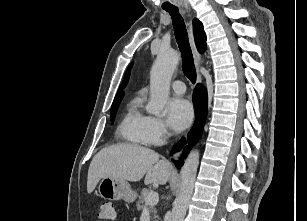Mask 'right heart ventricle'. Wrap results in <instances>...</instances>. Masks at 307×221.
Wrapping results in <instances>:
<instances>
[{
    "instance_id": "1",
    "label": "right heart ventricle",
    "mask_w": 307,
    "mask_h": 221,
    "mask_svg": "<svg viewBox=\"0 0 307 221\" xmlns=\"http://www.w3.org/2000/svg\"><path fill=\"white\" fill-rule=\"evenodd\" d=\"M142 101H130L127 111L117 128L118 137L127 143L145 146L150 144L147 131V116L141 111Z\"/></svg>"
}]
</instances>
